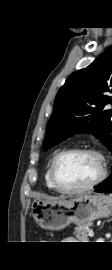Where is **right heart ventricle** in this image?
Here are the masks:
<instances>
[{
  "mask_svg": "<svg viewBox=\"0 0 112 270\" xmlns=\"http://www.w3.org/2000/svg\"><path fill=\"white\" fill-rule=\"evenodd\" d=\"M51 162L48 164V166H47V168L45 170L44 180H45L46 187L49 190L56 191V189L54 188V186L52 185L51 180H50V166H51Z\"/></svg>",
  "mask_w": 112,
  "mask_h": 270,
  "instance_id": "e07e8e85",
  "label": "right heart ventricle"
}]
</instances>
